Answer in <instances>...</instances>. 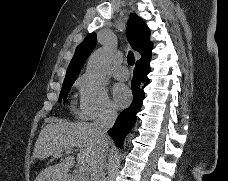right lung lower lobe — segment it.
<instances>
[{"label":"right lung lower lobe","instance_id":"98d812e1","mask_svg":"<svg viewBox=\"0 0 228 181\" xmlns=\"http://www.w3.org/2000/svg\"><path fill=\"white\" fill-rule=\"evenodd\" d=\"M150 59L151 55L136 62L133 80L131 82L133 93L132 104L119 114L114 126L108 130V134L118 147H120L124 137L133 127L136 121V114L142 107L144 99L143 88L149 83L147 74L150 72Z\"/></svg>","mask_w":228,"mask_h":181}]
</instances>
